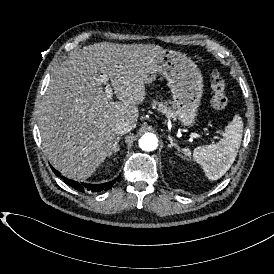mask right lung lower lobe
Returning <instances> with one entry per match:
<instances>
[{"instance_id": "98d812e1", "label": "right lung lower lobe", "mask_w": 274, "mask_h": 274, "mask_svg": "<svg viewBox=\"0 0 274 274\" xmlns=\"http://www.w3.org/2000/svg\"><path fill=\"white\" fill-rule=\"evenodd\" d=\"M51 168L53 169V171L55 172V174L57 176L61 177L67 184H69L71 187H73L74 189H76L80 192H85V191L100 192L102 190H108L113 186V184L117 180V179H115L113 181L102 183V184L79 183L74 180L67 179V178L61 176V174L57 170H55L53 167H51Z\"/></svg>"}]
</instances>
